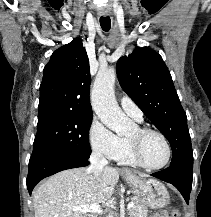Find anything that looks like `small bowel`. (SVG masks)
Instances as JSON below:
<instances>
[{
	"label": "small bowel",
	"mask_w": 211,
	"mask_h": 217,
	"mask_svg": "<svg viewBox=\"0 0 211 217\" xmlns=\"http://www.w3.org/2000/svg\"><path fill=\"white\" fill-rule=\"evenodd\" d=\"M151 217H156V215H153V216H151Z\"/></svg>",
	"instance_id": "c3829d8e"
}]
</instances>
